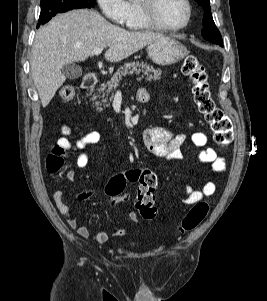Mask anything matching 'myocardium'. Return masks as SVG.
Masks as SVG:
<instances>
[{
	"instance_id": "f54148a6",
	"label": "myocardium",
	"mask_w": 267,
	"mask_h": 301,
	"mask_svg": "<svg viewBox=\"0 0 267 301\" xmlns=\"http://www.w3.org/2000/svg\"><path fill=\"white\" fill-rule=\"evenodd\" d=\"M183 1L187 9L186 19L180 25L171 26L163 23L157 15L156 9L159 0H137L138 7L144 21L152 28L162 31H179L188 26L192 18V6L190 0Z\"/></svg>"
}]
</instances>
